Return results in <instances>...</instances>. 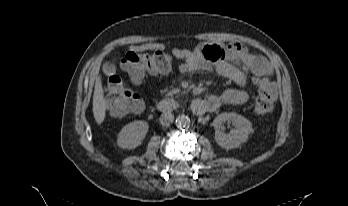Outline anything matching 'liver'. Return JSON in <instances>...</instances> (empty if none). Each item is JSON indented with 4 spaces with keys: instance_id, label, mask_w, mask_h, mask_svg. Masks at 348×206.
<instances>
[{
    "instance_id": "6515ba94",
    "label": "liver",
    "mask_w": 348,
    "mask_h": 206,
    "mask_svg": "<svg viewBox=\"0 0 348 206\" xmlns=\"http://www.w3.org/2000/svg\"><path fill=\"white\" fill-rule=\"evenodd\" d=\"M106 100L104 98V91L102 87L101 78L95 83V90L93 95V114L95 121L101 124L105 119Z\"/></svg>"
}]
</instances>
